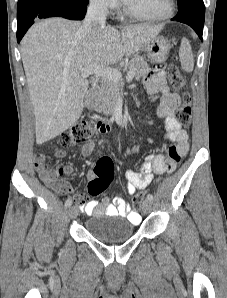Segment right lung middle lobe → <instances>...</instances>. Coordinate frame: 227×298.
Listing matches in <instances>:
<instances>
[{"label":"right lung middle lobe","instance_id":"right-lung-middle-lobe-1","mask_svg":"<svg viewBox=\"0 0 227 298\" xmlns=\"http://www.w3.org/2000/svg\"><path fill=\"white\" fill-rule=\"evenodd\" d=\"M35 1H38V0H18L17 11L25 8L26 6L34 3ZM73 1L88 4V0H73Z\"/></svg>","mask_w":227,"mask_h":298}]
</instances>
